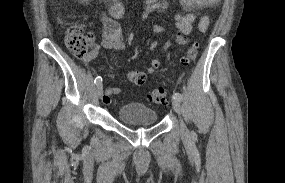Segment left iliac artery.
<instances>
[{"mask_svg":"<svg viewBox=\"0 0 285 183\" xmlns=\"http://www.w3.org/2000/svg\"><path fill=\"white\" fill-rule=\"evenodd\" d=\"M174 98L178 99V100H182L183 99V96L181 93L179 92H175L174 95H173Z\"/></svg>","mask_w":285,"mask_h":183,"instance_id":"1","label":"left iliac artery"}]
</instances>
